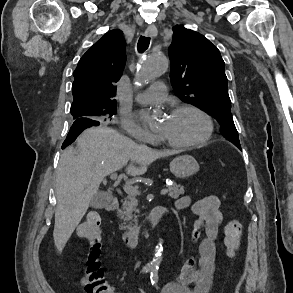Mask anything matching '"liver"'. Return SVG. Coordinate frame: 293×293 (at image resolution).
I'll list each match as a JSON object with an SVG mask.
<instances>
[{
  "mask_svg": "<svg viewBox=\"0 0 293 293\" xmlns=\"http://www.w3.org/2000/svg\"><path fill=\"white\" fill-rule=\"evenodd\" d=\"M175 151H156L104 126L86 129L61 155L56 176L54 243L62 250L98 193L102 180L130 162L127 174L142 175L155 160Z\"/></svg>",
  "mask_w": 293,
  "mask_h": 293,
  "instance_id": "1",
  "label": "liver"
}]
</instances>
